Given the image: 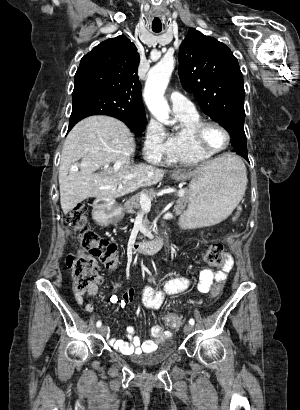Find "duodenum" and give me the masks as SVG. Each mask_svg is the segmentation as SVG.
Wrapping results in <instances>:
<instances>
[{
  "mask_svg": "<svg viewBox=\"0 0 300 410\" xmlns=\"http://www.w3.org/2000/svg\"><path fill=\"white\" fill-rule=\"evenodd\" d=\"M111 205V200H104L103 202H98L95 204L93 212L97 222L109 223L108 214L110 212ZM129 246L132 251H137L144 254H152L157 252L161 248L162 243L158 240H151L145 242H132Z\"/></svg>",
  "mask_w": 300,
  "mask_h": 410,
  "instance_id": "1",
  "label": "duodenum"
}]
</instances>
